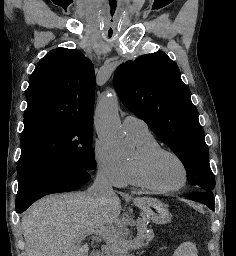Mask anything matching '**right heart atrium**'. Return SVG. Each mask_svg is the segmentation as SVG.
Here are the masks:
<instances>
[{"label": "right heart atrium", "mask_w": 236, "mask_h": 256, "mask_svg": "<svg viewBox=\"0 0 236 256\" xmlns=\"http://www.w3.org/2000/svg\"><path fill=\"white\" fill-rule=\"evenodd\" d=\"M94 119L96 120V118ZM92 162L99 179L115 188H123L127 185V172L124 163L113 159L99 139L94 142L92 147Z\"/></svg>", "instance_id": "obj_1"}]
</instances>
